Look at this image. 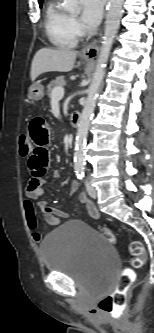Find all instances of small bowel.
<instances>
[{
	"mask_svg": "<svg viewBox=\"0 0 154 333\" xmlns=\"http://www.w3.org/2000/svg\"><path fill=\"white\" fill-rule=\"evenodd\" d=\"M27 135L32 144V150L28 158V167L31 178L26 188L27 199L24 202V209L27 223L32 233V238L35 242L40 243L42 241V236L38 231V223L33 201L37 200V206L40 209L44 220L49 225L57 226L61 224L62 219L68 216V212L66 210L53 208L46 201L39 200L43 195V186L50 167V128L48 124L42 118H33L28 125ZM61 175L62 172L59 170L53 172L54 178H59ZM77 188L78 184L72 182L70 193L75 192ZM79 200L85 205L88 214L92 218H99V211L92 201H90L84 194H80Z\"/></svg>",
	"mask_w": 154,
	"mask_h": 333,
	"instance_id": "c3829d8e",
	"label": "small bowel"
}]
</instances>
